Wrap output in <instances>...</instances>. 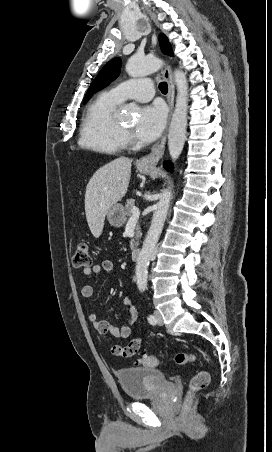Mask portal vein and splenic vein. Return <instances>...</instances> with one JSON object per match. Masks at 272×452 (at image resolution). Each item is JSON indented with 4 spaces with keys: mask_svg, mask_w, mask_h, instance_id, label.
<instances>
[{
    "mask_svg": "<svg viewBox=\"0 0 272 452\" xmlns=\"http://www.w3.org/2000/svg\"><path fill=\"white\" fill-rule=\"evenodd\" d=\"M139 215H140V210H139V208H137V207H133L132 208V216H131V218L132 219H137L138 217H139Z\"/></svg>",
    "mask_w": 272,
    "mask_h": 452,
    "instance_id": "18ae733b",
    "label": "portal vein and splenic vein"
}]
</instances>
